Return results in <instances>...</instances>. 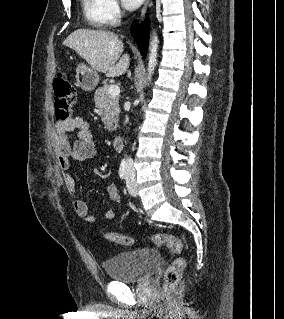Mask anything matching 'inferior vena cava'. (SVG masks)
Instances as JSON below:
<instances>
[{"mask_svg":"<svg viewBox=\"0 0 284 319\" xmlns=\"http://www.w3.org/2000/svg\"><path fill=\"white\" fill-rule=\"evenodd\" d=\"M127 166L128 168H133V160L131 158L127 160Z\"/></svg>","mask_w":284,"mask_h":319,"instance_id":"obj_1","label":"inferior vena cava"}]
</instances>
